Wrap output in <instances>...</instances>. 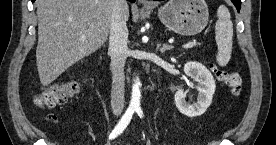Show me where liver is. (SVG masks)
I'll list each match as a JSON object with an SVG mask.
<instances>
[{
	"mask_svg": "<svg viewBox=\"0 0 276 145\" xmlns=\"http://www.w3.org/2000/svg\"><path fill=\"white\" fill-rule=\"evenodd\" d=\"M36 6L37 70L41 84L48 86L105 43L114 0H37Z\"/></svg>",
	"mask_w": 276,
	"mask_h": 145,
	"instance_id": "liver-1",
	"label": "liver"
}]
</instances>
